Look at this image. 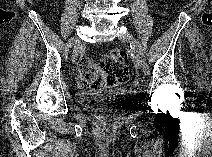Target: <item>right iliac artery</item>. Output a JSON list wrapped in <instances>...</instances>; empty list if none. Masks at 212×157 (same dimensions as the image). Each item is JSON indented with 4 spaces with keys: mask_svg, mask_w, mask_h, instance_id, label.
Listing matches in <instances>:
<instances>
[{
    "mask_svg": "<svg viewBox=\"0 0 212 157\" xmlns=\"http://www.w3.org/2000/svg\"><path fill=\"white\" fill-rule=\"evenodd\" d=\"M73 45V39H69V41L67 42V49L69 50Z\"/></svg>",
    "mask_w": 212,
    "mask_h": 157,
    "instance_id": "1",
    "label": "right iliac artery"
}]
</instances>
